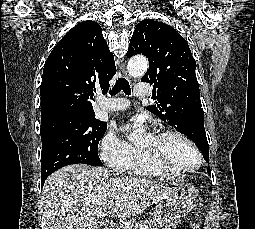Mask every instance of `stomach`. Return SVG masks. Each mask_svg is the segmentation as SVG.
I'll return each mask as SVG.
<instances>
[{
  "label": "stomach",
  "mask_w": 255,
  "mask_h": 229,
  "mask_svg": "<svg viewBox=\"0 0 255 229\" xmlns=\"http://www.w3.org/2000/svg\"><path fill=\"white\" fill-rule=\"evenodd\" d=\"M197 196L198 192L191 184L174 188L154 212L153 220L158 229H170L171 224L188 214L196 206Z\"/></svg>",
  "instance_id": "obj_1"
}]
</instances>
